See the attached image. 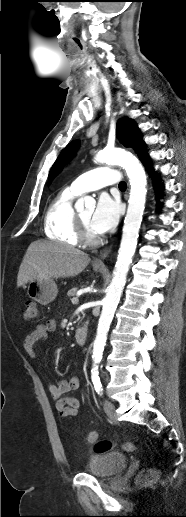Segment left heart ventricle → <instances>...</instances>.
<instances>
[{
    "instance_id": "1",
    "label": "left heart ventricle",
    "mask_w": 186,
    "mask_h": 517,
    "mask_svg": "<svg viewBox=\"0 0 186 517\" xmlns=\"http://www.w3.org/2000/svg\"><path fill=\"white\" fill-rule=\"evenodd\" d=\"M92 210L89 209V210H86L82 213H80L79 215L81 216L82 220L84 221V223L87 225L88 229L93 233V234H96V232H94L90 226V220H91V217H92Z\"/></svg>"
}]
</instances>
